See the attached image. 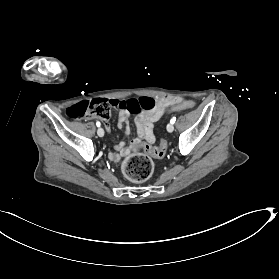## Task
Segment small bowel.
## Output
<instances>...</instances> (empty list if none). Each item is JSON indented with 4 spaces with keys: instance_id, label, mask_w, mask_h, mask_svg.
<instances>
[{
    "instance_id": "small-bowel-1",
    "label": "small bowel",
    "mask_w": 279,
    "mask_h": 279,
    "mask_svg": "<svg viewBox=\"0 0 279 279\" xmlns=\"http://www.w3.org/2000/svg\"><path fill=\"white\" fill-rule=\"evenodd\" d=\"M178 100L171 97L166 96H159L156 99V106L152 110L148 111H141L138 112V114L135 117V124L137 127V133H138V139H135L131 141L130 147L136 146L141 141H146L148 143H154L155 136L153 133V124L158 121L162 115L164 114L166 108L174 103H177ZM129 112L128 111H121L118 114V128L122 129L125 127V133L126 135H129L131 133L130 127H129ZM105 129L108 133L111 131V125L108 121H105L104 123ZM116 152H110L109 158L112 161H117L120 157L121 153H124L128 150V146L125 142H121L118 144H115L114 146Z\"/></svg>"
}]
</instances>
